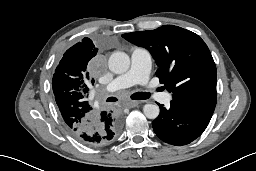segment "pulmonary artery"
<instances>
[{"instance_id": "obj_1", "label": "pulmonary artery", "mask_w": 256, "mask_h": 171, "mask_svg": "<svg viewBox=\"0 0 256 171\" xmlns=\"http://www.w3.org/2000/svg\"><path fill=\"white\" fill-rule=\"evenodd\" d=\"M152 65L150 52L145 48L135 47L131 50L130 69L116 77L108 86L107 91L113 92L119 89L127 88L135 84L145 85L149 80V74ZM163 103L168 104L171 96L168 93L160 94Z\"/></svg>"}]
</instances>
